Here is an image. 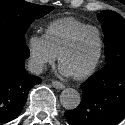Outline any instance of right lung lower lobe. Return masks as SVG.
<instances>
[{
  "mask_svg": "<svg viewBox=\"0 0 125 125\" xmlns=\"http://www.w3.org/2000/svg\"><path fill=\"white\" fill-rule=\"evenodd\" d=\"M30 55L25 43L0 36V123L21 113L30 89L41 83L26 72L24 61Z\"/></svg>",
  "mask_w": 125,
  "mask_h": 125,
  "instance_id": "obj_1",
  "label": "right lung lower lobe"
}]
</instances>
